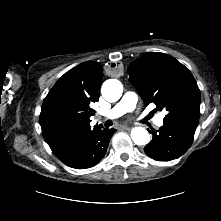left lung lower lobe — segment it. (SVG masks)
Returning <instances> with one entry per match:
<instances>
[{"label":"left lung lower lobe","mask_w":221,"mask_h":221,"mask_svg":"<svg viewBox=\"0 0 221 221\" xmlns=\"http://www.w3.org/2000/svg\"><path fill=\"white\" fill-rule=\"evenodd\" d=\"M199 120L163 121L158 131L150 132L152 141L144 151L157 161H171L179 158L191 146Z\"/></svg>","instance_id":"1"}]
</instances>
